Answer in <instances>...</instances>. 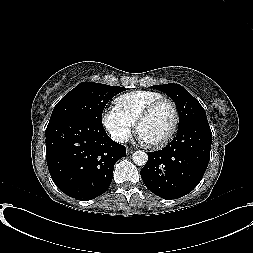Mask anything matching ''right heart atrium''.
<instances>
[{"label": "right heart atrium", "instance_id": "obj_1", "mask_svg": "<svg viewBox=\"0 0 253 253\" xmlns=\"http://www.w3.org/2000/svg\"><path fill=\"white\" fill-rule=\"evenodd\" d=\"M102 122L111 137L119 143H124L129 139L134 127V122L116 106L105 109Z\"/></svg>", "mask_w": 253, "mask_h": 253}]
</instances>
